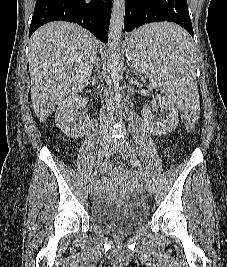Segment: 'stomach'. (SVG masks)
<instances>
[{"label": "stomach", "mask_w": 227, "mask_h": 267, "mask_svg": "<svg viewBox=\"0 0 227 267\" xmlns=\"http://www.w3.org/2000/svg\"><path fill=\"white\" fill-rule=\"evenodd\" d=\"M136 31H137V30H136ZM127 38H131V37L128 36ZM126 54H127V51H126ZM127 58H128L129 60H131V59H130V55H127ZM133 65H134V67L138 68V67H137V63H133Z\"/></svg>", "instance_id": "0dacf381"}]
</instances>
